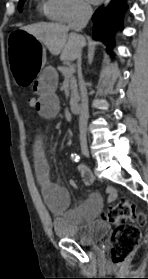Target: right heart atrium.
Wrapping results in <instances>:
<instances>
[{
  "mask_svg": "<svg viewBox=\"0 0 148 279\" xmlns=\"http://www.w3.org/2000/svg\"><path fill=\"white\" fill-rule=\"evenodd\" d=\"M48 17L62 23H71L86 17L90 7L84 0H47Z\"/></svg>",
  "mask_w": 148,
  "mask_h": 279,
  "instance_id": "d8ad5b80",
  "label": "right heart atrium"
}]
</instances>
